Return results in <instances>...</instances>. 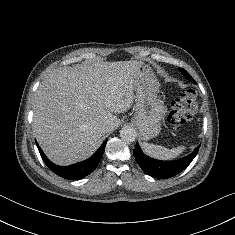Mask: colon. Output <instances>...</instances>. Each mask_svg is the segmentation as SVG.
Segmentation results:
<instances>
[{
    "label": "colon",
    "mask_w": 235,
    "mask_h": 235,
    "mask_svg": "<svg viewBox=\"0 0 235 235\" xmlns=\"http://www.w3.org/2000/svg\"><path fill=\"white\" fill-rule=\"evenodd\" d=\"M197 108L196 93L193 90H187L171 103L168 121L173 126L184 125L193 118Z\"/></svg>",
    "instance_id": "1"
}]
</instances>
